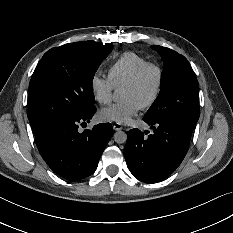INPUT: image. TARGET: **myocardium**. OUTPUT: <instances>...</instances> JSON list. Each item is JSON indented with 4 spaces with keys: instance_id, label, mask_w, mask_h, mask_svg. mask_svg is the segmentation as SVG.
I'll use <instances>...</instances> for the list:
<instances>
[{
    "instance_id": "f54148a6",
    "label": "myocardium",
    "mask_w": 233,
    "mask_h": 233,
    "mask_svg": "<svg viewBox=\"0 0 233 233\" xmlns=\"http://www.w3.org/2000/svg\"><path fill=\"white\" fill-rule=\"evenodd\" d=\"M155 69L158 74V80L155 92L153 96L148 100L145 104H143V108H150L153 106L159 99L163 84H164V69L163 67L157 63V62H146L142 66H140L133 74L132 76L122 85V87H133L136 86L139 81L141 80L142 76L148 69Z\"/></svg>"
}]
</instances>
